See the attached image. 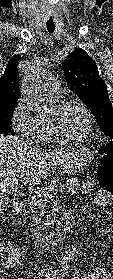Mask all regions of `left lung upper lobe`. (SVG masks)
I'll return each mask as SVG.
<instances>
[{
	"label": "left lung upper lobe",
	"mask_w": 113,
	"mask_h": 279,
	"mask_svg": "<svg viewBox=\"0 0 113 279\" xmlns=\"http://www.w3.org/2000/svg\"><path fill=\"white\" fill-rule=\"evenodd\" d=\"M63 70L68 86L94 114L104 135L113 138V108L94 60L79 48L66 57Z\"/></svg>",
	"instance_id": "obj_1"
}]
</instances>
